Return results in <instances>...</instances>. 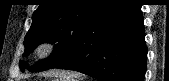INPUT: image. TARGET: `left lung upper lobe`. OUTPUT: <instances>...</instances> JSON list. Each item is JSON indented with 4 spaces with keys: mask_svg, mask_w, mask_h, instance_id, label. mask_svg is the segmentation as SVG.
I'll use <instances>...</instances> for the list:
<instances>
[{
    "mask_svg": "<svg viewBox=\"0 0 169 81\" xmlns=\"http://www.w3.org/2000/svg\"><path fill=\"white\" fill-rule=\"evenodd\" d=\"M114 0H42L32 16L25 36L27 56L42 42L56 43L52 55L33 67L20 61L22 71L39 72L56 67L67 60L86 27Z\"/></svg>",
    "mask_w": 169,
    "mask_h": 81,
    "instance_id": "5c2ea615",
    "label": "left lung upper lobe"
}]
</instances>
